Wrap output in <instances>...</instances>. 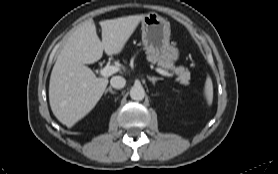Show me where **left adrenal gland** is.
I'll return each mask as SVG.
<instances>
[{
	"label": "left adrenal gland",
	"mask_w": 278,
	"mask_h": 174,
	"mask_svg": "<svg viewBox=\"0 0 278 174\" xmlns=\"http://www.w3.org/2000/svg\"><path fill=\"white\" fill-rule=\"evenodd\" d=\"M147 78L153 83V85H155V83H156L158 80H162V78H160V77H151V76H147Z\"/></svg>",
	"instance_id": "left-adrenal-gland-1"
}]
</instances>
